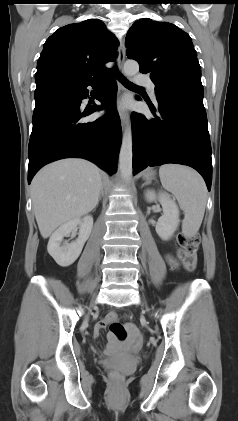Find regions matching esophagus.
I'll return each instance as SVG.
<instances>
[{"label": "esophagus", "mask_w": 238, "mask_h": 421, "mask_svg": "<svg viewBox=\"0 0 238 421\" xmlns=\"http://www.w3.org/2000/svg\"><path fill=\"white\" fill-rule=\"evenodd\" d=\"M125 53H126V50H125L124 42L121 41V43H120V45L118 47V69H119V72H121V73H123V65H124V61H125ZM119 90L120 91L123 90V88H122L121 85L119 86ZM119 116H120V120H121L122 126L125 127L127 125V123H128V118H129L128 112L121 109L119 111Z\"/></svg>", "instance_id": "obj_1"}]
</instances>
